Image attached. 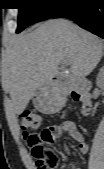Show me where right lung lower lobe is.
Masks as SVG:
<instances>
[{
  "mask_svg": "<svg viewBox=\"0 0 104 169\" xmlns=\"http://www.w3.org/2000/svg\"><path fill=\"white\" fill-rule=\"evenodd\" d=\"M52 18H70L80 27L104 38V0H76Z\"/></svg>",
  "mask_w": 104,
  "mask_h": 169,
  "instance_id": "right-lung-lower-lobe-1",
  "label": "right lung lower lobe"
}]
</instances>
